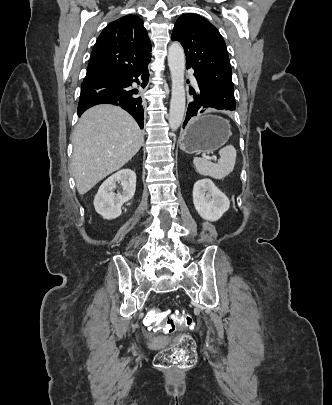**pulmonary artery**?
I'll use <instances>...</instances> for the list:
<instances>
[{"mask_svg":"<svg viewBox=\"0 0 332 405\" xmlns=\"http://www.w3.org/2000/svg\"><path fill=\"white\" fill-rule=\"evenodd\" d=\"M191 81L193 82V84H197V81L195 79V77L193 75H190Z\"/></svg>","mask_w":332,"mask_h":405,"instance_id":"obj_1","label":"pulmonary artery"}]
</instances>
